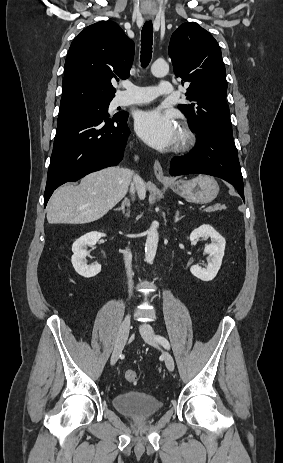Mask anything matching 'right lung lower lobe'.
Here are the masks:
<instances>
[{"label": "right lung lower lobe", "mask_w": 283, "mask_h": 463, "mask_svg": "<svg viewBox=\"0 0 283 463\" xmlns=\"http://www.w3.org/2000/svg\"><path fill=\"white\" fill-rule=\"evenodd\" d=\"M127 119V113L109 118L101 112H88L58 122L44 207L60 185L121 161L130 135Z\"/></svg>", "instance_id": "1"}]
</instances>
